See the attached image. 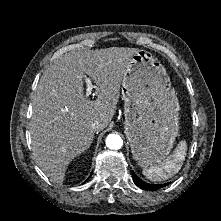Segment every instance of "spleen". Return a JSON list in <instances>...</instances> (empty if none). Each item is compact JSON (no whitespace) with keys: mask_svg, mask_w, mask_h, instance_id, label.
<instances>
[{"mask_svg":"<svg viewBox=\"0 0 221 221\" xmlns=\"http://www.w3.org/2000/svg\"><path fill=\"white\" fill-rule=\"evenodd\" d=\"M187 151L186 141L178 143L173 154L169 155L162 163L151 167H144L142 173L150 181H162L177 174L182 167Z\"/></svg>","mask_w":221,"mask_h":221,"instance_id":"1","label":"spleen"}]
</instances>
